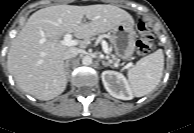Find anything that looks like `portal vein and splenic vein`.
Listing matches in <instances>:
<instances>
[{
    "label": "portal vein and splenic vein",
    "mask_w": 194,
    "mask_h": 133,
    "mask_svg": "<svg viewBox=\"0 0 194 133\" xmlns=\"http://www.w3.org/2000/svg\"><path fill=\"white\" fill-rule=\"evenodd\" d=\"M62 43L66 46H74L77 44V41L76 40H73L72 39V35L67 33L65 36H64V39L62 40ZM102 48H103V51L105 53H108V45H107V42L106 41H102Z\"/></svg>",
    "instance_id": "1"
}]
</instances>
